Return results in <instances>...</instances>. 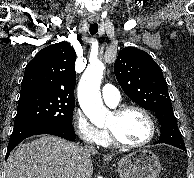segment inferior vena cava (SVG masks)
I'll return each mask as SVG.
<instances>
[{
    "label": "inferior vena cava",
    "instance_id": "602c4592",
    "mask_svg": "<svg viewBox=\"0 0 194 178\" xmlns=\"http://www.w3.org/2000/svg\"><path fill=\"white\" fill-rule=\"evenodd\" d=\"M88 152H95V149H94V147H92V146H88V147H86L85 148Z\"/></svg>",
    "mask_w": 194,
    "mask_h": 178
}]
</instances>
